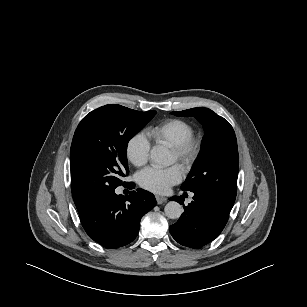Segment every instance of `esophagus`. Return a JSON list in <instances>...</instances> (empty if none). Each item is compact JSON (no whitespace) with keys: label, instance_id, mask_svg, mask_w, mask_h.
Segmentation results:
<instances>
[{"label":"esophagus","instance_id":"esophagus-1","mask_svg":"<svg viewBox=\"0 0 307 307\" xmlns=\"http://www.w3.org/2000/svg\"><path fill=\"white\" fill-rule=\"evenodd\" d=\"M166 200H167L166 197H163V196H160V195H156L157 204H162V203L166 202Z\"/></svg>","mask_w":307,"mask_h":307}]
</instances>
